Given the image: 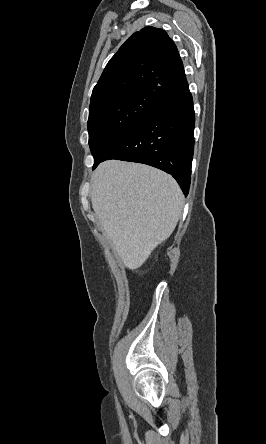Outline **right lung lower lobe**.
Masks as SVG:
<instances>
[{
    "label": "right lung lower lobe",
    "instance_id": "98d812e1",
    "mask_svg": "<svg viewBox=\"0 0 266 444\" xmlns=\"http://www.w3.org/2000/svg\"><path fill=\"white\" fill-rule=\"evenodd\" d=\"M194 126L193 100L187 88L163 100L142 123L117 141L101 162L118 159L159 168L171 174L187 196L194 151Z\"/></svg>",
    "mask_w": 266,
    "mask_h": 444
}]
</instances>
